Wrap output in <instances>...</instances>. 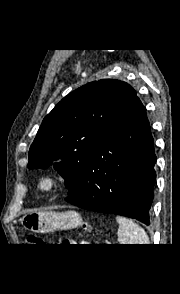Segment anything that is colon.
I'll return each instance as SVG.
<instances>
[{
    "mask_svg": "<svg viewBox=\"0 0 180 294\" xmlns=\"http://www.w3.org/2000/svg\"><path fill=\"white\" fill-rule=\"evenodd\" d=\"M84 228L86 230H89V227L88 226H84ZM27 242L29 244H34L35 245V244H40L42 242V239L38 235L30 234V235L27 236Z\"/></svg>",
    "mask_w": 180,
    "mask_h": 294,
    "instance_id": "colon-1",
    "label": "colon"
}]
</instances>
